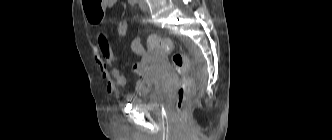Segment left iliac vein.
Returning <instances> with one entry per match:
<instances>
[{
  "instance_id": "obj_1",
  "label": "left iliac vein",
  "mask_w": 332,
  "mask_h": 140,
  "mask_svg": "<svg viewBox=\"0 0 332 140\" xmlns=\"http://www.w3.org/2000/svg\"><path fill=\"white\" fill-rule=\"evenodd\" d=\"M138 4L143 11H147L148 6L145 0H138Z\"/></svg>"
}]
</instances>
